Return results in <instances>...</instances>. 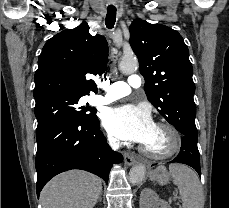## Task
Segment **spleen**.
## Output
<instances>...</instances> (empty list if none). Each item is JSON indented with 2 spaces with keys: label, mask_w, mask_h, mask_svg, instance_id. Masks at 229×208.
<instances>
[{
  "label": "spleen",
  "mask_w": 229,
  "mask_h": 208,
  "mask_svg": "<svg viewBox=\"0 0 229 208\" xmlns=\"http://www.w3.org/2000/svg\"><path fill=\"white\" fill-rule=\"evenodd\" d=\"M169 170L173 184L178 186L183 208H203L204 196L197 174L184 164H170ZM155 172H166V168L159 166Z\"/></svg>",
  "instance_id": "obj_1"
}]
</instances>
